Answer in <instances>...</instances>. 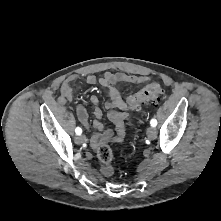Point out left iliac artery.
<instances>
[{"mask_svg": "<svg viewBox=\"0 0 221 221\" xmlns=\"http://www.w3.org/2000/svg\"><path fill=\"white\" fill-rule=\"evenodd\" d=\"M150 124H151L152 127H156L157 120L155 118L151 119Z\"/></svg>", "mask_w": 221, "mask_h": 221, "instance_id": "44dca946", "label": "left iliac artery"}]
</instances>
